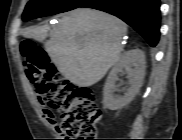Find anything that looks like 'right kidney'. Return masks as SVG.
<instances>
[{"instance_id":"ca27d5eb","label":"right kidney","mask_w":182,"mask_h":140,"mask_svg":"<svg viewBox=\"0 0 182 140\" xmlns=\"http://www.w3.org/2000/svg\"><path fill=\"white\" fill-rule=\"evenodd\" d=\"M145 69L146 60L143 51L135 49L122 55L107 77L103 91L104 106L110 110H117L129 104L143 84ZM123 71L128 74L130 86L126 93L119 97L114 95L117 90L115 83L118 79V74Z\"/></svg>"}]
</instances>
